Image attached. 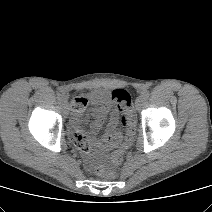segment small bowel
<instances>
[{"instance_id":"small-bowel-1","label":"small bowel","mask_w":212,"mask_h":212,"mask_svg":"<svg viewBox=\"0 0 212 212\" xmlns=\"http://www.w3.org/2000/svg\"><path fill=\"white\" fill-rule=\"evenodd\" d=\"M82 103L83 107L80 110H76V114L79 118H81V121H79L78 118H73V128L70 131V137H75L79 141L85 143L86 147L88 148V140L84 132L80 129V126L83 124V116L82 112L84 111L86 105H87V99L86 98H79ZM93 103L96 105V107L92 111V116L94 118L92 124H91V132L97 133L99 129L102 127L106 117L108 116L110 112V105L107 103V93L105 91H97L92 95ZM118 123V114L117 112H112L110 115L108 127H107V133L105 136L101 139L99 142V146L103 149H112L116 147L122 139V136L119 132L116 131V125Z\"/></svg>"}]
</instances>
